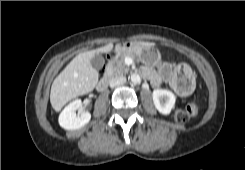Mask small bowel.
Here are the masks:
<instances>
[{
	"label": "small bowel",
	"instance_id": "1",
	"mask_svg": "<svg viewBox=\"0 0 245 170\" xmlns=\"http://www.w3.org/2000/svg\"><path fill=\"white\" fill-rule=\"evenodd\" d=\"M174 72L173 66L169 63L162 64L156 71L149 68H143L141 70V74L148 78L154 86L160 85L163 81L165 83H171Z\"/></svg>",
	"mask_w": 245,
	"mask_h": 170
}]
</instances>
